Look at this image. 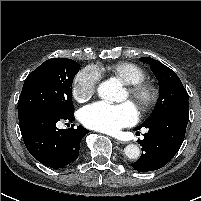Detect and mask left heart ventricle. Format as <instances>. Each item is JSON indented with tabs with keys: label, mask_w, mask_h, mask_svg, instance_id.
Returning <instances> with one entry per match:
<instances>
[{
	"label": "left heart ventricle",
	"mask_w": 201,
	"mask_h": 201,
	"mask_svg": "<svg viewBox=\"0 0 201 201\" xmlns=\"http://www.w3.org/2000/svg\"><path fill=\"white\" fill-rule=\"evenodd\" d=\"M129 97L128 92H126V98Z\"/></svg>",
	"instance_id": "left-heart-ventricle-1"
}]
</instances>
